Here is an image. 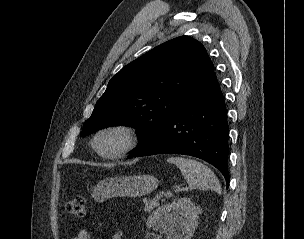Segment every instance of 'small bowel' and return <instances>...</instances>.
Wrapping results in <instances>:
<instances>
[{"mask_svg": "<svg viewBox=\"0 0 304 239\" xmlns=\"http://www.w3.org/2000/svg\"><path fill=\"white\" fill-rule=\"evenodd\" d=\"M121 238H122L121 233H117L112 237V239H121ZM71 239H91V237L87 230L82 229L79 230Z\"/></svg>", "mask_w": 304, "mask_h": 239, "instance_id": "1", "label": "small bowel"}]
</instances>
